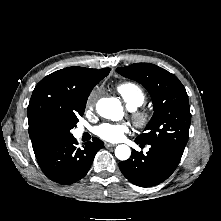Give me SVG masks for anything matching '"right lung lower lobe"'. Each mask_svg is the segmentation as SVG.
Listing matches in <instances>:
<instances>
[{
  "instance_id": "right-lung-lower-lobe-1",
  "label": "right lung lower lobe",
  "mask_w": 221,
  "mask_h": 221,
  "mask_svg": "<svg viewBox=\"0 0 221 221\" xmlns=\"http://www.w3.org/2000/svg\"><path fill=\"white\" fill-rule=\"evenodd\" d=\"M72 136L58 141L46 153L37 158L43 173L52 181L67 185L83 178L93 159L104 143L93 138L92 142L85 143L81 148Z\"/></svg>"
}]
</instances>
